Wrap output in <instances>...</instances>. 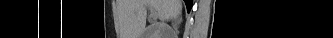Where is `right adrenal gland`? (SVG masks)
<instances>
[{
  "label": "right adrenal gland",
  "mask_w": 333,
  "mask_h": 38,
  "mask_svg": "<svg viewBox=\"0 0 333 38\" xmlns=\"http://www.w3.org/2000/svg\"><path fill=\"white\" fill-rule=\"evenodd\" d=\"M173 25H174V27H176L177 26V24H178V22H179V20L178 19H176L175 17L173 18Z\"/></svg>",
  "instance_id": "right-adrenal-gland-1"
}]
</instances>
